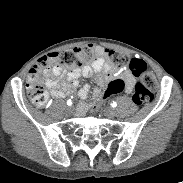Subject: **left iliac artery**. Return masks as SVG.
Returning a JSON list of instances; mask_svg holds the SVG:
<instances>
[{"mask_svg":"<svg viewBox=\"0 0 183 183\" xmlns=\"http://www.w3.org/2000/svg\"><path fill=\"white\" fill-rule=\"evenodd\" d=\"M111 106H112V107H116V106H117V103H116L115 101H113V102L111 103Z\"/></svg>","mask_w":183,"mask_h":183,"instance_id":"left-iliac-artery-1","label":"left iliac artery"}]
</instances>
